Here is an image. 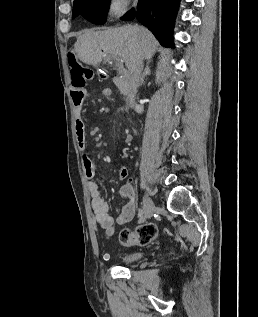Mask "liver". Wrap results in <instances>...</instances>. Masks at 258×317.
Listing matches in <instances>:
<instances>
[{
    "instance_id": "liver-1",
    "label": "liver",
    "mask_w": 258,
    "mask_h": 317,
    "mask_svg": "<svg viewBox=\"0 0 258 317\" xmlns=\"http://www.w3.org/2000/svg\"><path fill=\"white\" fill-rule=\"evenodd\" d=\"M158 40L152 32L139 24H125L109 30H85L79 34L74 50L87 64H98L103 56H120L130 68L136 54L143 58H152Z\"/></svg>"
}]
</instances>
